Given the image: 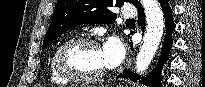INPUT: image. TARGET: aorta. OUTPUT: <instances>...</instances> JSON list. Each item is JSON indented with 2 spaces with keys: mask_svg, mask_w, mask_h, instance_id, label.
Here are the masks:
<instances>
[{
  "mask_svg": "<svg viewBox=\"0 0 205 87\" xmlns=\"http://www.w3.org/2000/svg\"><path fill=\"white\" fill-rule=\"evenodd\" d=\"M143 5L147 30L143 44L136 58V72L143 73L151 63L163 35L164 16L157 0H141Z\"/></svg>",
  "mask_w": 205,
  "mask_h": 87,
  "instance_id": "1",
  "label": "aorta"
}]
</instances>
